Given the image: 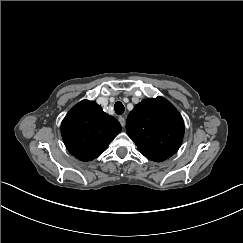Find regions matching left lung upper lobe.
<instances>
[{
	"mask_svg": "<svg viewBox=\"0 0 243 243\" xmlns=\"http://www.w3.org/2000/svg\"><path fill=\"white\" fill-rule=\"evenodd\" d=\"M126 132L146 158L161 162L179 149L184 122L177 109L165 98L142 100L129 113Z\"/></svg>",
	"mask_w": 243,
	"mask_h": 243,
	"instance_id": "obj_1",
	"label": "left lung upper lobe"
}]
</instances>
